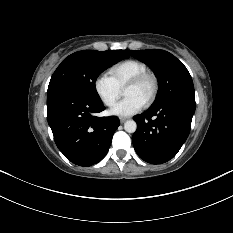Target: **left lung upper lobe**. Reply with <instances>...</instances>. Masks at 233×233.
<instances>
[{
	"label": "left lung upper lobe",
	"mask_w": 233,
	"mask_h": 233,
	"mask_svg": "<svg viewBox=\"0 0 233 233\" xmlns=\"http://www.w3.org/2000/svg\"><path fill=\"white\" fill-rule=\"evenodd\" d=\"M133 57L148 64L159 79L160 90L154 105L183 99L195 102L194 86L187 68L164 50H128Z\"/></svg>",
	"instance_id": "obj_1"
}]
</instances>
